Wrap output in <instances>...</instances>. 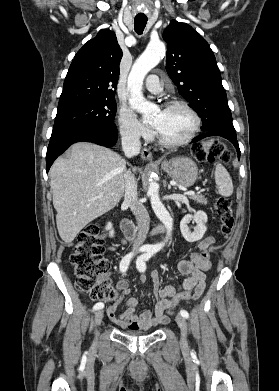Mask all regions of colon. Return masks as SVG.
<instances>
[{
  "instance_id": "1",
  "label": "colon",
  "mask_w": 279,
  "mask_h": 391,
  "mask_svg": "<svg viewBox=\"0 0 279 391\" xmlns=\"http://www.w3.org/2000/svg\"><path fill=\"white\" fill-rule=\"evenodd\" d=\"M191 152L198 163H213L215 161L228 162L230 155L225 145L215 139H207L195 144ZM215 210L220 219V232L228 237L235 225L232 201L227 197H219L215 203ZM105 235L98 224H91L82 230L70 255L73 266L76 288L89 294L92 300L111 301L117 298L115 290L103 280L109 269L107 260L103 257ZM205 259H210V253L202 252ZM193 292L183 291L176 294L168 302V309L172 310L182 302L190 300Z\"/></svg>"
}]
</instances>
